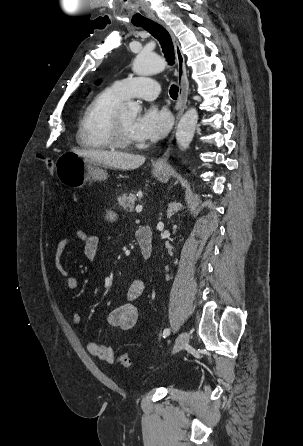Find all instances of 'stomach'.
Segmentation results:
<instances>
[{"mask_svg":"<svg viewBox=\"0 0 303 446\" xmlns=\"http://www.w3.org/2000/svg\"><path fill=\"white\" fill-rule=\"evenodd\" d=\"M56 176L64 185L82 188L90 180L107 179V172L99 164L91 162L73 152L61 154L55 163ZM153 175L161 182L168 181L165 167H154Z\"/></svg>","mask_w":303,"mask_h":446,"instance_id":"obj_1","label":"stomach"}]
</instances>
